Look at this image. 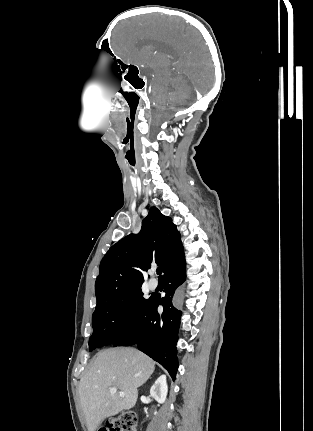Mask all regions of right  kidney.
I'll return each instance as SVG.
<instances>
[{
  "mask_svg": "<svg viewBox=\"0 0 313 431\" xmlns=\"http://www.w3.org/2000/svg\"><path fill=\"white\" fill-rule=\"evenodd\" d=\"M168 393L166 376L161 375L150 389V395L160 404L164 403Z\"/></svg>",
  "mask_w": 313,
  "mask_h": 431,
  "instance_id": "right-kidney-1",
  "label": "right kidney"
}]
</instances>
